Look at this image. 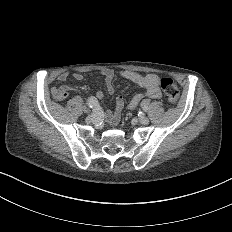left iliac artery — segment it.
Listing matches in <instances>:
<instances>
[{
    "label": "left iliac artery",
    "instance_id": "1",
    "mask_svg": "<svg viewBox=\"0 0 232 232\" xmlns=\"http://www.w3.org/2000/svg\"><path fill=\"white\" fill-rule=\"evenodd\" d=\"M137 116H138V119H143L145 117V114H144V112L139 111Z\"/></svg>",
    "mask_w": 232,
    "mask_h": 232
}]
</instances>
